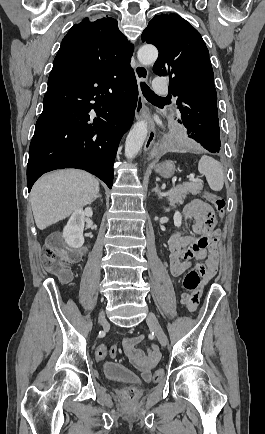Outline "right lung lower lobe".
<instances>
[{"label":"right lung lower lobe","instance_id":"right-lung-lower-lobe-1","mask_svg":"<svg viewBox=\"0 0 265 434\" xmlns=\"http://www.w3.org/2000/svg\"><path fill=\"white\" fill-rule=\"evenodd\" d=\"M131 60L99 70L53 69L29 148L27 186L45 172L86 170L113 183V162L130 128L138 88ZM95 101V103H93Z\"/></svg>","mask_w":265,"mask_h":434}]
</instances>
